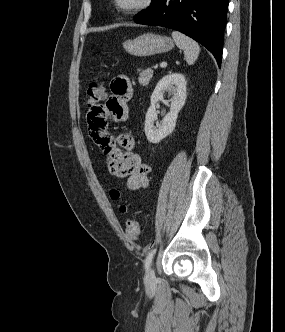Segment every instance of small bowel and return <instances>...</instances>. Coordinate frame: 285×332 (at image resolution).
<instances>
[{"label":"small bowel","instance_id":"c3829d8e","mask_svg":"<svg viewBox=\"0 0 285 332\" xmlns=\"http://www.w3.org/2000/svg\"><path fill=\"white\" fill-rule=\"evenodd\" d=\"M112 95L104 105L90 108L87 124L91 138L106 157L110 172L126 179V188L136 191L147 188L150 167L135 151L136 139L129 132L117 136L106 131L109 120L125 121L128 117V101L132 97V85L125 75L114 77L110 84Z\"/></svg>","mask_w":285,"mask_h":332}]
</instances>
